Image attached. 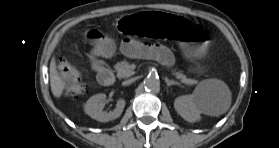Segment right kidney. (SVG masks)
<instances>
[{
    "mask_svg": "<svg viewBox=\"0 0 279 148\" xmlns=\"http://www.w3.org/2000/svg\"><path fill=\"white\" fill-rule=\"evenodd\" d=\"M105 100L106 95L102 93L92 96L85 104V112L91 118L100 122H108L120 117L125 107V100L119 99L116 108L112 112L103 111Z\"/></svg>",
    "mask_w": 279,
    "mask_h": 148,
    "instance_id": "ca27d5eb",
    "label": "right kidney"
}]
</instances>
